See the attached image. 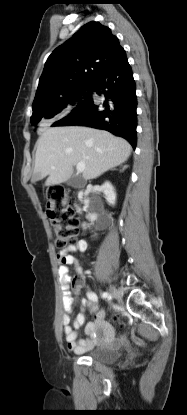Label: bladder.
I'll use <instances>...</instances> for the list:
<instances>
[{
    "label": "bladder",
    "instance_id": "31cf9c89",
    "mask_svg": "<svg viewBox=\"0 0 187 415\" xmlns=\"http://www.w3.org/2000/svg\"><path fill=\"white\" fill-rule=\"evenodd\" d=\"M121 352V347L98 348L93 351L86 352V356L103 364H112L120 358Z\"/></svg>",
    "mask_w": 187,
    "mask_h": 415
}]
</instances>
